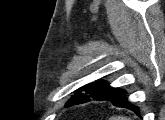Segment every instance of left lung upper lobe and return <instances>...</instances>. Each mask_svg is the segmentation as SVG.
<instances>
[{
	"label": "left lung upper lobe",
	"mask_w": 165,
	"mask_h": 120,
	"mask_svg": "<svg viewBox=\"0 0 165 120\" xmlns=\"http://www.w3.org/2000/svg\"><path fill=\"white\" fill-rule=\"evenodd\" d=\"M117 88H112L105 81L90 83L75 92V95L66 103L65 107L89 102L91 99L103 100L113 94Z\"/></svg>",
	"instance_id": "obj_1"
}]
</instances>
